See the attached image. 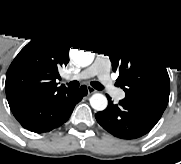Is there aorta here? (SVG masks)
I'll use <instances>...</instances> for the list:
<instances>
[{
	"mask_svg": "<svg viewBox=\"0 0 181 164\" xmlns=\"http://www.w3.org/2000/svg\"><path fill=\"white\" fill-rule=\"evenodd\" d=\"M93 52L82 49H74L72 52V58L75 63L80 66H88L93 61ZM107 98L100 93H95L90 98V105L97 111H102L107 107Z\"/></svg>",
	"mask_w": 181,
	"mask_h": 164,
	"instance_id": "1",
	"label": "aorta"
}]
</instances>
